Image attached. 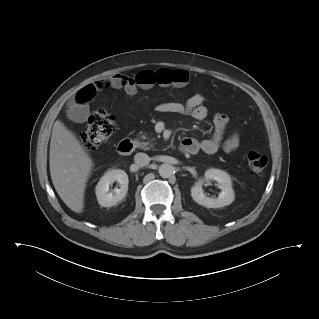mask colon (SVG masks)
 Returning <instances> with one entry per match:
<instances>
[{
  "instance_id": "5ec220e1",
  "label": "colon",
  "mask_w": 319,
  "mask_h": 319,
  "mask_svg": "<svg viewBox=\"0 0 319 319\" xmlns=\"http://www.w3.org/2000/svg\"><path fill=\"white\" fill-rule=\"evenodd\" d=\"M115 131L116 123L114 118L105 111H98L88 118L80 138L83 146L92 150L105 143ZM267 163L268 158L263 153L257 151L249 152L248 165L254 174H262Z\"/></svg>"
}]
</instances>
